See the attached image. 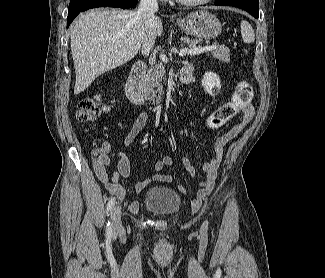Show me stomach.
<instances>
[{
  "instance_id": "stomach-1",
  "label": "stomach",
  "mask_w": 325,
  "mask_h": 278,
  "mask_svg": "<svg viewBox=\"0 0 325 278\" xmlns=\"http://www.w3.org/2000/svg\"><path fill=\"white\" fill-rule=\"evenodd\" d=\"M186 33L204 39H213L222 32L220 21L210 12L200 10L177 21Z\"/></svg>"
}]
</instances>
